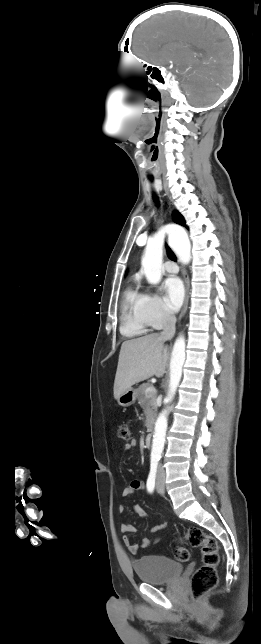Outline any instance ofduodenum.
<instances>
[{"label":"duodenum","instance_id":"obj_1","mask_svg":"<svg viewBox=\"0 0 261 644\" xmlns=\"http://www.w3.org/2000/svg\"><path fill=\"white\" fill-rule=\"evenodd\" d=\"M153 435L151 433L147 434L144 438V445L150 447L152 444Z\"/></svg>","mask_w":261,"mask_h":644}]
</instances>
